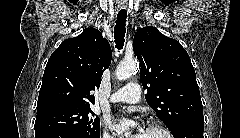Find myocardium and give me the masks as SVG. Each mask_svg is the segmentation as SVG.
<instances>
[{
  "instance_id": "obj_1",
  "label": "myocardium",
  "mask_w": 240,
  "mask_h": 138,
  "mask_svg": "<svg viewBox=\"0 0 240 138\" xmlns=\"http://www.w3.org/2000/svg\"><path fill=\"white\" fill-rule=\"evenodd\" d=\"M147 129L161 132L162 134H164L165 138H172L171 132L167 128H165L164 126L159 125L157 123L150 124L147 127Z\"/></svg>"
}]
</instances>
